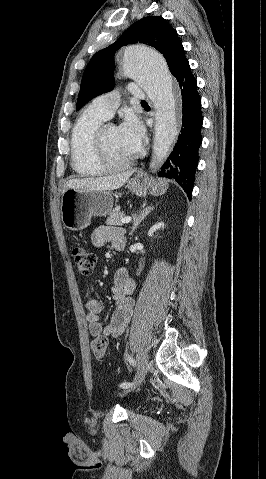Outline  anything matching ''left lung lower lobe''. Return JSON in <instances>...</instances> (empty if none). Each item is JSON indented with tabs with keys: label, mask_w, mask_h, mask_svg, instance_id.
<instances>
[{
	"label": "left lung lower lobe",
	"mask_w": 266,
	"mask_h": 479,
	"mask_svg": "<svg viewBox=\"0 0 266 479\" xmlns=\"http://www.w3.org/2000/svg\"><path fill=\"white\" fill-rule=\"evenodd\" d=\"M183 101V121L177 143L159 172L160 177L175 180L192 198L195 172L198 165V149L202 143L201 98L197 92V82L186 61L175 74Z\"/></svg>",
	"instance_id": "0a47b994"
}]
</instances>
